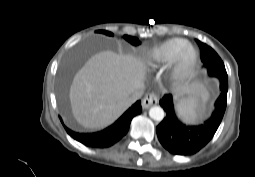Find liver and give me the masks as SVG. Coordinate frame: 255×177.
Wrapping results in <instances>:
<instances>
[{
	"mask_svg": "<svg viewBox=\"0 0 255 177\" xmlns=\"http://www.w3.org/2000/svg\"><path fill=\"white\" fill-rule=\"evenodd\" d=\"M143 61L132 55L102 51L76 73L69 91L71 109L83 127L100 130L117 120L129 107L130 95L145 79ZM199 83L178 85L177 93H194Z\"/></svg>",
	"mask_w": 255,
	"mask_h": 177,
	"instance_id": "obj_1",
	"label": "liver"
}]
</instances>
